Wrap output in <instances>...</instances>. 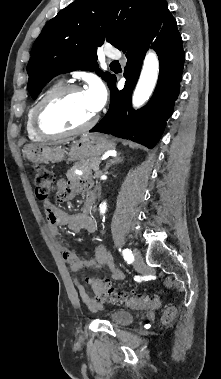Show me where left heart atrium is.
I'll use <instances>...</instances> for the list:
<instances>
[{
    "mask_svg": "<svg viewBox=\"0 0 221 379\" xmlns=\"http://www.w3.org/2000/svg\"><path fill=\"white\" fill-rule=\"evenodd\" d=\"M83 93L95 113L104 106L107 99L106 89L98 79H92Z\"/></svg>",
    "mask_w": 221,
    "mask_h": 379,
    "instance_id": "obj_1",
    "label": "left heart atrium"
}]
</instances>
